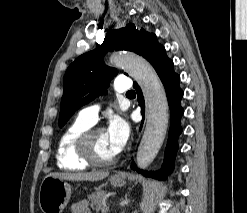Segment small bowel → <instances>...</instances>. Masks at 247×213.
I'll use <instances>...</instances> for the list:
<instances>
[{"label":"small bowel","mask_w":247,"mask_h":213,"mask_svg":"<svg viewBox=\"0 0 247 213\" xmlns=\"http://www.w3.org/2000/svg\"><path fill=\"white\" fill-rule=\"evenodd\" d=\"M71 210L72 213H91L87 201L73 204Z\"/></svg>","instance_id":"obj_1"}]
</instances>
